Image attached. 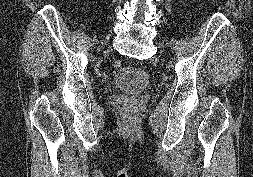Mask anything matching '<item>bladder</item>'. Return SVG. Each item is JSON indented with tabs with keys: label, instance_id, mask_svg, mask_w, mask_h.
I'll list each match as a JSON object with an SVG mask.
<instances>
[{
	"label": "bladder",
	"instance_id": "1",
	"mask_svg": "<svg viewBox=\"0 0 253 177\" xmlns=\"http://www.w3.org/2000/svg\"><path fill=\"white\" fill-rule=\"evenodd\" d=\"M147 73L134 66L121 68L109 81V86L118 89H141L149 85Z\"/></svg>",
	"mask_w": 253,
	"mask_h": 177
}]
</instances>
